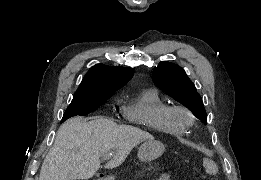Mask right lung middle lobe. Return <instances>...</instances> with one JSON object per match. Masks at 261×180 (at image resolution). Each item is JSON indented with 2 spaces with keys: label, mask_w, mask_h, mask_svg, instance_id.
Wrapping results in <instances>:
<instances>
[{
  "label": "right lung middle lobe",
  "mask_w": 261,
  "mask_h": 180,
  "mask_svg": "<svg viewBox=\"0 0 261 180\" xmlns=\"http://www.w3.org/2000/svg\"><path fill=\"white\" fill-rule=\"evenodd\" d=\"M111 95L76 94L65 111L61 122L75 115H87L106 102Z\"/></svg>",
  "instance_id": "right-lung-middle-lobe-1"
}]
</instances>
